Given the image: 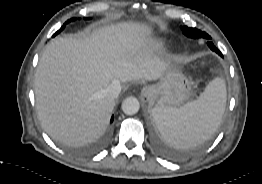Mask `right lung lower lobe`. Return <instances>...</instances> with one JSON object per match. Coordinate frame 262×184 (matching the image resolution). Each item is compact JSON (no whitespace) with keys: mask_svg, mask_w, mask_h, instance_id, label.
Wrapping results in <instances>:
<instances>
[{"mask_svg":"<svg viewBox=\"0 0 262 184\" xmlns=\"http://www.w3.org/2000/svg\"><path fill=\"white\" fill-rule=\"evenodd\" d=\"M113 119H114V117L112 116V118H111V122L113 121Z\"/></svg>","mask_w":262,"mask_h":184,"instance_id":"98d812e1","label":"right lung lower lobe"}]
</instances>
